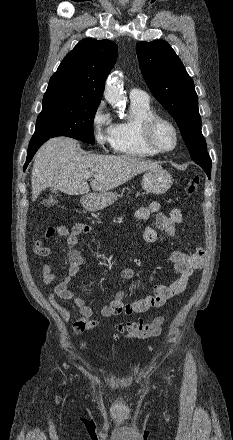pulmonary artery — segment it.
I'll list each match as a JSON object with an SVG mask.
<instances>
[{
  "label": "pulmonary artery",
  "instance_id": "pulmonary-artery-1",
  "mask_svg": "<svg viewBox=\"0 0 233 440\" xmlns=\"http://www.w3.org/2000/svg\"><path fill=\"white\" fill-rule=\"evenodd\" d=\"M129 98L134 102H149L148 94L140 89H131L129 92Z\"/></svg>",
  "mask_w": 233,
  "mask_h": 440
}]
</instances>
